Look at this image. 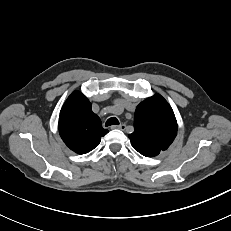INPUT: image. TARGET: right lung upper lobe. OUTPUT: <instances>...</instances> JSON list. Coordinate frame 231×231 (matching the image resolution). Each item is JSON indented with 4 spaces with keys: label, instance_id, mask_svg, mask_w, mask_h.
<instances>
[{
    "label": "right lung upper lobe",
    "instance_id": "obj_1",
    "mask_svg": "<svg viewBox=\"0 0 231 231\" xmlns=\"http://www.w3.org/2000/svg\"><path fill=\"white\" fill-rule=\"evenodd\" d=\"M59 133L74 152L85 154L96 148L108 133L100 118L92 112L91 103L79 91H74L64 103L59 116Z\"/></svg>",
    "mask_w": 231,
    "mask_h": 231
}]
</instances>
